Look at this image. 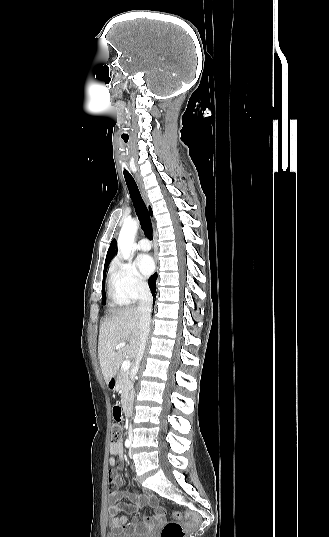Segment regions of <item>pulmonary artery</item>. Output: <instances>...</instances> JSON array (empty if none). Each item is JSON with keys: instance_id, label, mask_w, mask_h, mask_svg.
<instances>
[{"instance_id": "obj_1", "label": "pulmonary artery", "mask_w": 329, "mask_h": 537, "mask_svg": "<svg viewBox=\"0 0 329 537\" xmlns=\"http://www.w3.org/2000/svg\"><path fill=\"white\" fill-rule=\"evenodd\" d=\"M138 248L141 251H149L151 248L150 242L147 239H141L138 242Z\"/></svg>"}]
</instances>
